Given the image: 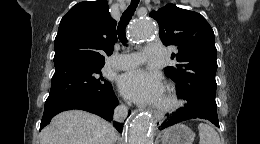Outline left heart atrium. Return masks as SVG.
<instances>
[{"mask_svg":"<svg viewBox=\"0 0 260 144\" xmlns=\"http://www.w3.org/2000/svg\"><path fill=\"white\" fill-rule=\"evenodd\" d=\"M120 88L127 98L138 104H159L164 95L160 77L141 69L122 75Z\"/></svg>","mask_w":260,"mask_h":144,"instance_id":"obj_1","label":"left heart atrium"}]
</instances>
